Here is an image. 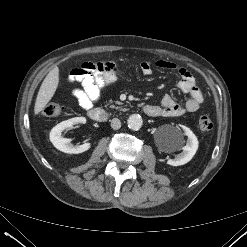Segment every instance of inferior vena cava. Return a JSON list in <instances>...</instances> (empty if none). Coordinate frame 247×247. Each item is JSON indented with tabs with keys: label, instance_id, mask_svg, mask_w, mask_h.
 Listing matches in <instances>:
<instances>
[{
	"label": "inferior vena cava",
	"instance_id": "obj_1",
	"mask_svg": "<svg viewBox=\"0 0 247 247\" xmlns=\"http://www.w3.org/2000/svg\"><path fill=\"white\" fill-rule=\"evenodd\" d=\"M111 127L114 130H117L121 127V121L118 118H113L111 120Z\"/></svg>",
	"mask_w": 247,
	"mask_h": 247
}]
</instances>
